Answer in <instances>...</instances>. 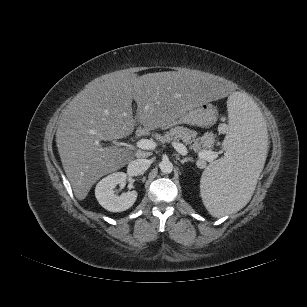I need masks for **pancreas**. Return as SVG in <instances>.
I'll return each instance as SVG.
<instances>
[{"instance_id": "cf45deb5", "label": "pancreas", "mask_w": 307, "mask_h": 307, "mask_svg": "<svg viewBox=\"0 0 307 307\" xmlns=\"http://www.w3.org/2000/svg\"><path fill=\"white\" fill-rule=\"evenodd\" d=\"M156 139L162 143L171 141H182L185 145H188L190 149L200 153L202 149L210 148L211 142L205 141V136L197 137V133L194 130H190L186 127L176 126L166 131L164 135L157 134Z\"/></svg>"}]
</instances>
